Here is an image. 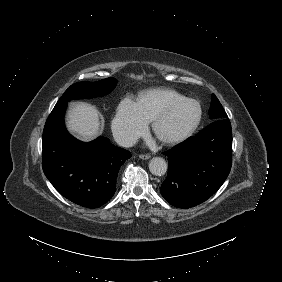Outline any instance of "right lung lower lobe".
<instances>
[{"label": "right lung lower lobe", "mask_w": 282, "mask_h": 282, "mask_svg": "<svg viewBox=\"0 0 282 282\" xmlns=\"http://www.w3.org/2000/svg\"><path fill=\"white\" fill-rule=\"evenodd\" d=\"M66 103L57 104L49 115L43 131L42 167L56 190L70 201L97 208L115 193L121 165L131 157L108 138L80 142L64 125Z\"/></svg>", "instance_id": "1"}]
</instances>
